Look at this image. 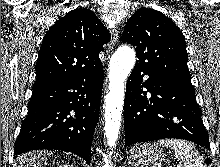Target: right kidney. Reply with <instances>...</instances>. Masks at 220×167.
<instances>
[{
	"label": "right kidney",
	"instance_id": "1",
	"mask_svg": "<svg viewBox=\"0 0 220 167\" xmlns=\"http://www.w3.org/2000/svg\"><path fill=\"white\" fill-rule=\"evenodd\" d=\"M59 167H73L72 165H69V164H64V165H61Z\"/></svg>",
	"mask_w": 220,
	"mask_h": 167
}]
</instances>
